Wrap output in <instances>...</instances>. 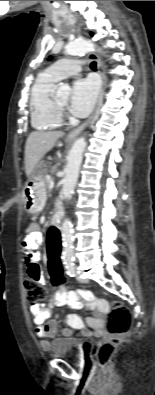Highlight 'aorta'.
<instances>
[{"label":"aorta","mask_w":155,"mask_h":395,"mask_svg":"<svg viewBox=\"0 0 155 395\" xmlns=\"http://www.w3.org/2000/svg\"><path fill=\"white\" fill-rule=\"evenodd\" d=\"M95 48V45L89 40H76L66 45L65 52L74 56L94 51ZM69 92L70 87L67 84L61 83L59 85L57 95L67 96ZM86 146L87 141L84 136H81L74 142L69 151L62 187V194L65 200H70L74 192L83 159V152ZM61 233L63 241V257L66 261H72L74 259V237L72 223L69 219H65L63 221Z\"/></svg>","instance_id":"1"}]
</instances>
